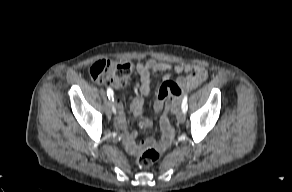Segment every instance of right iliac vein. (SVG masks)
<instances>
[{
    "label": "right iliac vein",
    "instance_id": "obj_1",
    "mask_svg": "<svg viewBox=\"0 0 292 192\" xmlns=\"http://www.w3.org/2000/svg\"><path fill=\"white\" fill-rule=\"evenodd\" d=\"M105 113L110 116L111 113H112V105L110 102H108L106 105H105Z\"/></svg>",
    "mask_w": 292,
    "mask_h": 192
}]
</instances>
